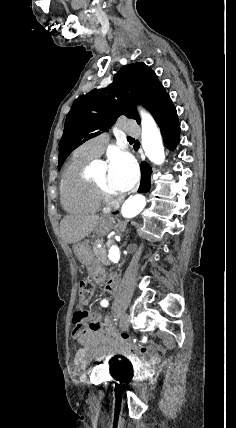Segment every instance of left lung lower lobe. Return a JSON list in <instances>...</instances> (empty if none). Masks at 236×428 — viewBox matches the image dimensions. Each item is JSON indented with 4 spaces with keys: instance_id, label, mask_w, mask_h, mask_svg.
I'll return each instance as SVG.
<instances>
[{
    "instance_id": "obj_1",
    "label": "left lung lower lobe",
    "mask_w": 236,
    "mask_h": 428,
    "mask_svg": "<svg viewBox=\"0 0 236 428\" xmlns=\"http://www.w3.org/2000/svg\"><path fill=\"white\" fill-rule=\"evenodd\" d=\"M158 126L160 127L161 134L164 139V144L169 150H174L180 139V123L178 120L176 108L173 103H169L162 108L154 116ZM152 169L149 164H141V183L138 192H148L150 189V176Z\"/></svg>"
}]
</instances>
